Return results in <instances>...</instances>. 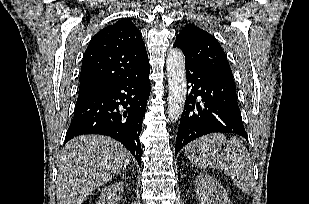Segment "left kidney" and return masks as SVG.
Masks as SVG:
<instances>
[{
	"instance_id": "obj_1",
	"label": "left kidney",
	"mask_w": 309,
	"mask_h": 204,
	"mask_svg": "<svg viewBox=\"0 0 309 204\" xmlns=\"http://www.w3.org/2000/svg\"><path fill=\"white\" fill-rule=\"evenodd\" d=\"M195 182L200 204H232L225 189L214 177L199 174Z\"/></svg>"
}]
</instances>
